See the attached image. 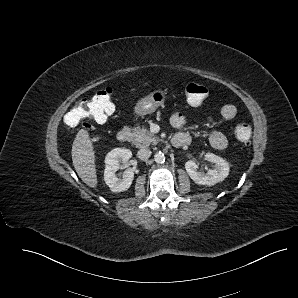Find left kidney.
<instances>
[{"instance_id":"obj_1","label":"left kidney","mask_w":298,"mask_h":298,"mask_svg":"<svg viewBox=\"0 0 298 298\" xmlns=\"http://www.w3.org/2000/svg\"><path fill=\"white\" fill-rule=\"evenodd\" d=\"M205 160L215 164L214 168L205 174L197 171L198 166L194 161L189 160L185 163L186 172L196 184L212 186L229 175V163L223 158L208 152L205 154Z\"/></svg>"}]
</instances>
